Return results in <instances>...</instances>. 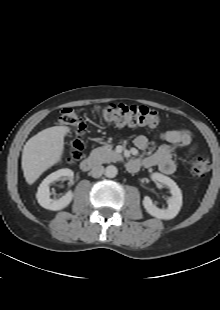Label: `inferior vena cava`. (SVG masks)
<instances>
[{
  "label": "inferior vena cava",
  "instance_id": "obj_1",
  "mask_svg": "<svg viewBox=\"0 0 220 310\" xmlns=\"http://www.w3.org/2000/svg\"><path fill=\"white\" fill-rule=\"evenodd\" d=\"M104 171L105 169L102 165H96L90 171V175L94 178H99L104 173Z\"/></svg>",
  "mask_w": 220,
  "mask_h": 310
}]
</instances>
